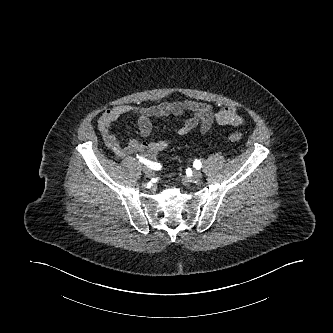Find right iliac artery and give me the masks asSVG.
Here are the masks:
<instances>
[{
    "instance_id": "right-iliac-artery-1",
    "label": "right iliac artery",
    "mask_w": 333,
    "mask_h": 333,
    "mask_svg": "<svg viewBox=\"0 0 333 333\" xmlns=\"http://www.w3.org/2000/svg\"><path fill=\"white\" fill-rule=\"evenodd\" d=\"M137 158L139 159L140 162L144 163L145 165H147L149 168H151L153 170L161 169L160 163L149 161V160L139 156L138 154H137Z\"/></svg>"
}]
</instances>
